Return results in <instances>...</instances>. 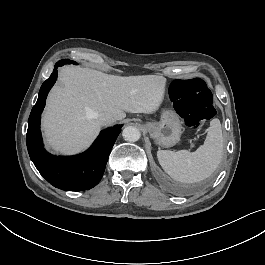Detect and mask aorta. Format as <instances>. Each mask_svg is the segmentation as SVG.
<instances>
[{"instance_id":"aorta-1","label":"aorta","mask_w":265,"mask_h":265,"mask_svg":"<svg viewBox=\"0 0 265 265\" xmlns=\"http://www.w3.org/2000/svg\"><path fill=\"white\" fill-rule=\"evenodd\" d=\"M122 137L126 141L136 142L140 138V133H139V130L136 127L128 126V127L123 129Z\"/></svg>"}]
</instances>
